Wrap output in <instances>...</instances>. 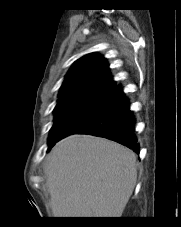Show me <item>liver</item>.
<instances>
[{"instance_id": "obj_1", "label": "liver", "mask_w": 181, "mask_h": 227, "mask_svg": "<svg viewBox=\"0 0 181 227\" xmlns=\"http://www.w3.org/2000/svg\"><path fill=\"white\" fill-rule=\"evenodd\" d=\"M54 217H121L137 180L136 155L90 135L56 144L45 167Z\"/></svg>"}]
</instances>
